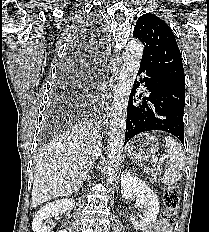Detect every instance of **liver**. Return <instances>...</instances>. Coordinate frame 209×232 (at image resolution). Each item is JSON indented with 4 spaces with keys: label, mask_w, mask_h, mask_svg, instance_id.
Listing matches in <instances>:
<instances>
[{
    "label": "liver",
    "mask_w": 209,
    "mask_h": 232,
    "mask_svg": "<svg viewBox=\"0 0 209 232\" xmlns=\"http://www.w3.org/2000/svg\"><path fill=\"white\" fill-rule=\"evenodd\" d=\"M93 128L80 124L55 138L35 159L31 206L70 195L83 184L93 163Z\"/></svg>",
    "instance_id": "6515ba94"
}]
</instances>
